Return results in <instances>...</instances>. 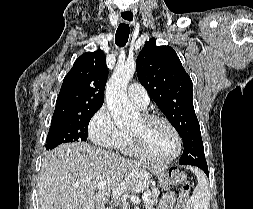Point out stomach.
I'll return each mask as SVG.
<instances>
[{"label":"stomach","mask_w":253,"mask_h":209,"mask_svg":"<svg viewBox=\"0 0 253 209\" xmlns=\"http://www.w3.org/2000/svg\"><path fill=\"white\" fill-rule=\"evenodd\" d=\"M159 183H158V188H167V183L168 182V171H165L164 169L160 172L159 174ZM149 183V182H148Z\"/></svg>","instance_id":"1"}]
</instances>
